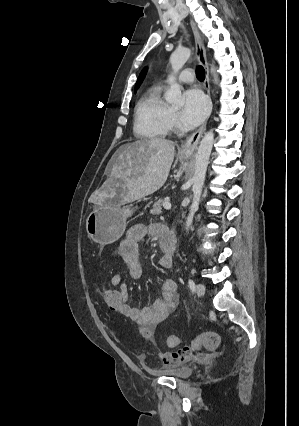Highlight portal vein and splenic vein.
<instances>
[{
  "label": "portal vein and splenic vein",
  "mask_w": 299,
  "mask_h": 426,
  "mask_svg": "<svg viewBox=\"0 0 299 426\" xmlns=\"http://www.w3.org/2000/svg\"><path fill=\"white\" fill-rule=\"evenodd\" d=\"M163 207H164L165 209H167V210L171 209V204H170V202L166 201V202L163 204Z\"/></svg>",
  "instance_id": "18ae733b"
}]
</instances>
